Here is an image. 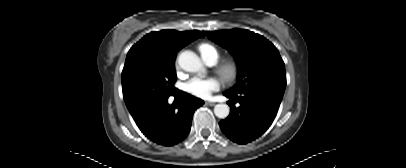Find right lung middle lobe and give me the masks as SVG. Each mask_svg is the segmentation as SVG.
Listing matches in <instances>:
<instances>
[{
	"label": "right lung middle lobe",
	"instance_id": "obj_1",
	"mask_svg": "<svg viewBox=\"0 0 406 168\" xmlns=\"http://www.w3.org/2000/svg\"><path fill=\"white\" fill-rule=\"evenodd\" d=\"M174 61H161L148 56L126 59L122 71L123 97L132 114L151 106L175 92Z\"/></svg>",
	"mask_w": 406,
	"mask_h": 168
}]
</instances>
